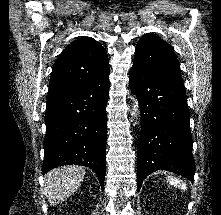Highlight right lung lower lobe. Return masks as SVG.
<instances>
[{
  "label": "right lung lower lobe",
  "instance_id": "1",
  "mask_svg": "<svg viewBox=\"0 0 221 215\" xmlns=\"http://www.w3.org/2000/svg\"><path fill=\"white\" fill-rule=\"evenodd\" d=\"M109 73L46 103L43 173L63 165L92 169L104 188Z\"/></svg>",
  "mask_w": 221,
  "mask_h": 215
}]
</instances>
